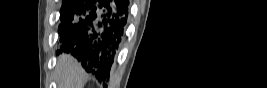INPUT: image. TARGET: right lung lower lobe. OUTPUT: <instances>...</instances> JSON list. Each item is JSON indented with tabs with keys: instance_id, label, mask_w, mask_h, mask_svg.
<instances>
[{
	"instance_id": "98d812e1",
	"label": "right lung lower lobe",
	"mask_w": 267,
	"mask_h": 88,
	"mask_svg": "<svg viewBox=\"0 0 267 88\" xmlns=\"http://www.w3.org/2000/svg\"><path fill=\"white\" fill-rule=\"evenodd\" d=\"M70 2L61 10V51L71 52L87 72L105 82L125 32L129 1Z\"/></svg>"
}]
</instances>
